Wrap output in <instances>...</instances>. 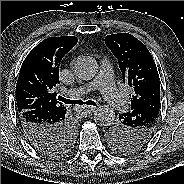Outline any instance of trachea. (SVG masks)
<instances>
[{
	"label": "trachea",
	"mask_w": 184,
	"mask_h": 184,
	"mask_svg": "<svg viewBox=\"0 0 184 184\" xmlns=\"http://www.w3.org/2000/svg\"><path fill=\"white\" fill-rule=\"evenodd\" d=\"M58 100L64 102L65 104H68V105H73V104L83 105V104H87V105L96 106V103L94 101H92V100H88L86 102H84L82 100H70V99H66V98L62 97L61 95L58 96Z\"/></svg>",
	"instance_id": "1"
}]
</instances>
